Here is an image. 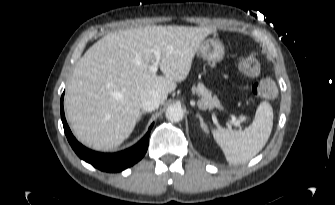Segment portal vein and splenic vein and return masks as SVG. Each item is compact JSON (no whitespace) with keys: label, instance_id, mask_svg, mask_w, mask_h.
Masks as SVG:
<instances>
[{"label":"portal vein and splenic vein","instance_id":"18ae733b","mask_svg":"<svg viewBox=\"0 0 335 205\" xmlns=\"http://www.w3.org/2000/svg\"><path fill=\"white\" fill-rule=\"evenodd\" d=\"M161 52L162 50L160 48H157L155 51H154V60L152 62V65L150 66L149 70L152 72V73H156L157 70H158V66H159V63H160V58H161ZM231 124L235 125V126H239V122L236 120L235 117H232L231 118Z\"/></svg>","mask_w":335,"mask_h":205}]
</instances>
